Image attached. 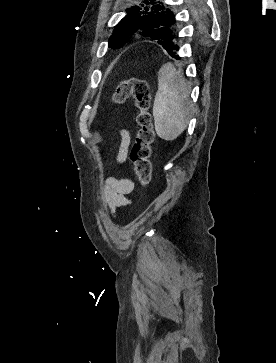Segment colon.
<instances>
[{"label":"colon","mask_w":276,"mask_h":363,"mask_svg":"<svg viewBox=\"0 0 276 363\" xmlns=\"http://www.w3.org/2000/svg\"><path fill=\"white\" fill-rule=\"evenodd\" d=\"M129 97H133L138 109V133L131 152V161L134 164L138 179L142 186H148L152 177V144L155 132L149 112L151 93L146 80L130 79L119 84L114 92L113 99L122 104Z\"/></svg>","instance_id":"colon-1"}]
</instances>
